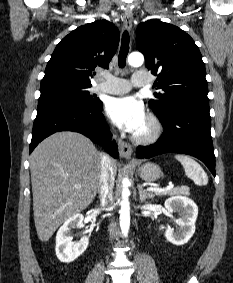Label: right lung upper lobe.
I'll list each match as a JSON object with an SVG mask.
<instances>
[{
    "label": "right lung upper lobe",
    "instance_id": "cb5924a9",
    "mask_svg": "<svg viewBox=\"0 0 233 283\" xmlns=\"http://www.w3.org/2000/svg\"><path fill=\"white\" fill-rule=\"evenodd\" d=\"M118 44L119 31L107 20L80 26L56 46L41 82L66 80L91 86L95 70L109 67Z\"/></svg>",
    "mask_w": 233,
    "mask_h": 283
}]
</instances>
